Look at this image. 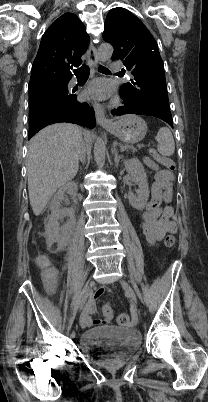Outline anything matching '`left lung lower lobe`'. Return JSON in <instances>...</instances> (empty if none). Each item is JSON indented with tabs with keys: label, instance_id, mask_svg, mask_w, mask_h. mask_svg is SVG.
<instances>
[{
	"label": "left lung lower lobe",
	"instance_id": "0a47b994",
	"mask_svg": "<svg viewBox=\"0 0 208 402\" xmlns=\"http://www.w3.org/2000/svg\"><path fill=\"white\" fill-rule=\"evenodd\" d=\"M121 98L123 99V106L112 111L113 115H124V114H137V115H149L160 118L167 122L173 128V120L171 112L168 108L150 103H139L127 96H124L120 91Z\"/></svg>",
	"mask_w": 208,
	"mask_h": 402
}]
</instances>
